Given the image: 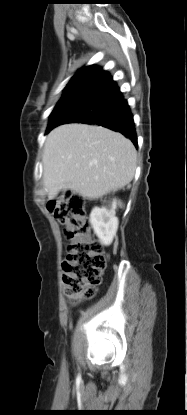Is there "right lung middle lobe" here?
Listing matches in <instances>:
<instances>
[{"instance_id": "1", "label": "right lung middle lobe", "mask_w": 187, "mask_h": 415, "mask_svg": "<svg viewBox=\"0 0 187 415\" xmlns=\"http://www.w3.org/2000/svg\"><path fill=\"white\" fill-rule=\"evenodd\" d=\"M67 99H68V96H67V97H65V98H63V99H61V101H59V102H58L57 106H58L59 104H60V105H61V104H64V103L67 101ZM57 106H56V107H57ZM56 107H55V108H56Z\"/></svg>"}]
</instances>
